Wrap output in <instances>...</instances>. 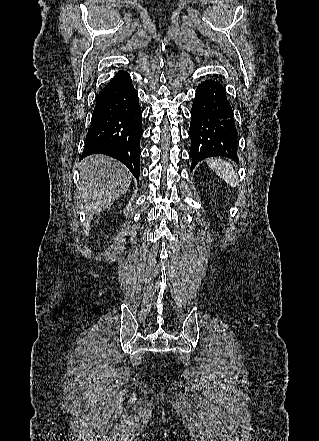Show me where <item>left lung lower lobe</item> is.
<instances>
[{"label": "left lung lower lobe", "mask_w": 319, "mask_h": 441, "mask_svg": "<svg viewBox=\"0 0 319 441\" xmlns=\"http://www.w3.org/2000/svg\"><path fill=\"white\" fill-rule=\"evenodd\" d=\"M191 170L207 157L223 156L237 161V128L225 88L208 79L197 87L191 109Z\"/></svg>", "instance_id": "1"}]
</instances>
